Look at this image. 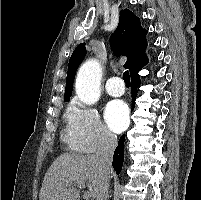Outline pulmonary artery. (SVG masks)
Wrapping results in <instances>:
<instances>
[{"instance_id":"1","label":"pulmonary artery","mask_w":201,"mask_h":200,"mask_svg":"<svg viewBox=\"0 0 201 200\" xmlns=\"http://www.w3.org/2000/svg\"><path fill=\"white\" fill-rule=\"evenodd\" d=\"M106 91L109 95L115 97L123 95L125 91L123 80L118 76L110 77L106 85Z\"/></svg>"}]
</instances>
